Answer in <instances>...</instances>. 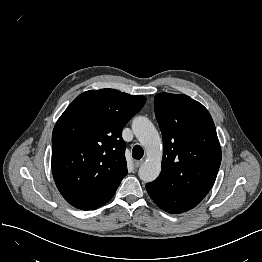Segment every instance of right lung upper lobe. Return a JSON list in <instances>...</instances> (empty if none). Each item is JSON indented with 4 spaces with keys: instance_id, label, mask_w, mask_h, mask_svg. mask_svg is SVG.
<instances>
[{
    "instance_id": "right-lung-upper-lobe-1",
    "label": "right lung upper lobe",
    "mask_w": 262,
    "mask_h": 262,
    "mask_svg": "<svg viewBox=\"0 0 262 262\" xmlns=\"http://www.w3.org/2000/svg\"><path fill=\"white\" fill-rule=\"evenodd\" d=\"M145 101L114 89L89 90L60 116L52 134V171L69 204L93 210L113 197L127 174L122 130Z\"/></svg>"
}]
</instances>
